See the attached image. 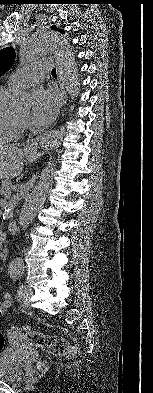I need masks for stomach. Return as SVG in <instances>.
I'll return each instance as SVG.
<instances>
[{"instance_id": "obj_1", "label": "stomach", "mask_w": 153, "mask_h": 393, "mask_svg": "<svg viewBox=\"0 0 153 393\" xmlns=\"http://www.w3.org/2000/svg\"><path fill=\"white\" fill-rule=\"evenodd\" d=\"M24 157L27 161L33 162L37 158V152L35 150L28 151L27 149L24 150Z\"/></svg>"}]
</instances>
